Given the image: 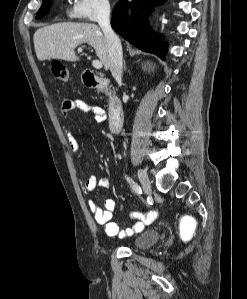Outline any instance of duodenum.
I'll use <instances>...</instances> for the list:
<instances>
[{
    "label": "duodenum",
    "instance_id": "duodenum-1",
    "mask_svg": "<svg viewBox=\"0 0 247 299\" xmlns=\"http://www.w3.org/2000/svg\"><path fill=\"white\" fill-rule=\"evenodd\" d=\"M83 81L89 88H100L107 84V79L97 76L91 70H86L83 74ZM123 105L119 98L112 97L109 101L108 123L111 131H117L123 124Z\"/></svg>",
    "mask_w": 247,
    "mask_h": 299
}]
</instances>
